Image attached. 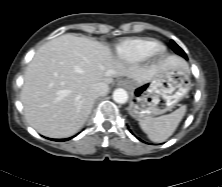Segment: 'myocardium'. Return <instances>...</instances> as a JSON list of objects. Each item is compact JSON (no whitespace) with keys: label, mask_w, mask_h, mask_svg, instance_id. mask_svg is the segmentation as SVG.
<instances>
[{"label":"myocardium","mask_w":222,"mask_h":187,"mask_svg":"<svg viewBox=\"0 0 222 187\" xmlns=\"http://www.w3.org/2000/svg\"><path fill=\"white\" fill-rule=\"evenodd\" d=\"M165 54V47L161 44H156L155 47L152 49L149 58L151 59H160Z\"/></svg>","instance_id":"1"}]
</instances>
